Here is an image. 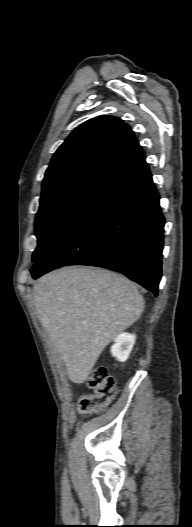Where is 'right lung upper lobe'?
I'll return each mask as SVG.
<instances>
[{"instance_id": "right-lung-upper-lobe-1", "label": "right lung upper lobe", "mask_w": 192, "mask_h": 527, "mask_svg": "<svg viewBox=\"0 0 192 527\" xmlns=\"http://www.w3.org/2000/svg\"><path fill=\"white\" fill-rule=\"evenodd\" d=\"M142 153L134 133L121 119L92 118L77 127L56 151L42 192L86 177L109 181Z\"/></svg>"}]
</instances>
